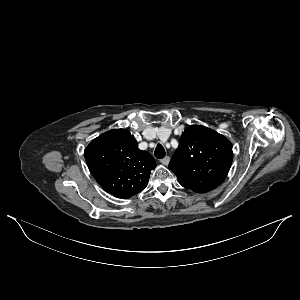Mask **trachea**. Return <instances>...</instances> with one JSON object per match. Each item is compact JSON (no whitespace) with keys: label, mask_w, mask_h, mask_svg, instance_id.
<instances>
[{"label":"trachea","mask_w":300,"mask_h":300,"mask_svg":"<svg viewBox=\"0 0 300 300\" xmlns=\"http://www.w3.org/2000/svg\"><path fill=\"white\" fill-rule=\"evenodd\" d=\"M154 155L158 159H162L165 157V149L163 148V146L161 144L157 145Z\"/></svg>","instance_id":"3493384b"}]
</instances>
